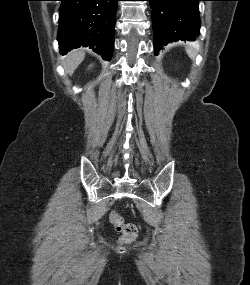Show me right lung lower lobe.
<instances>
[{"instance_id": "right-lung-lower-lobe-1", "label": "right lung lower lobe", "mask_w": 250, "mask_h": 285, "mask_svg": "<svg viewBox=\"0 0 250 285\" xmlns=\"http://www.w3.org/2000/svg\"><path fill=\"white\" fill-rule=\"evenodd\" d=\"M57 40L60 53L90 47L110 61L119 0H60Z\"/></svg>"}]
</instances>
